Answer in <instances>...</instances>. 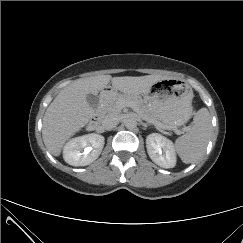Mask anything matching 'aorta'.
I'll list each match as a JSON object with an SVG mask.
<instances>
[{
    "instance_id": "762f6f07",
    "label": "aorta",
    "mask_w": 243,
    "mask_h": 243,
    "mask_svg": "<svg viewBox=\"0 0 243 243\" xmlns=\"http://www.w3.org/2000/svg\"><path fill=\"white\" fill-rule=\"evenodd\" d=\"M125 126L129 130H133L137 127V121L134 118H128L125 121Z\"/></svg>"
}]
</instances>
